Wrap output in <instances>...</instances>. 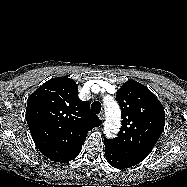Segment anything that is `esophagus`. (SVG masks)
Returning a JSON list of instances; mask_svg holds the SVG:
<instances>
[{
    "label": "esophagus",
    "instance_id": "obj_1",
    "mask_svg": "<svg viewBox=\"0 0 187 187\" xmlns=\"http://www.w3.org/2000/svg\"><path fill=\"white\" fill-rule=\"evenodd\" d=\"M98 117H99V119H100L101 121H103V120L105 119V114H104V112L99 113Z\"/></svg>",
    "mask_w": 187,
    "mask_h": 187
}]
</instances>
